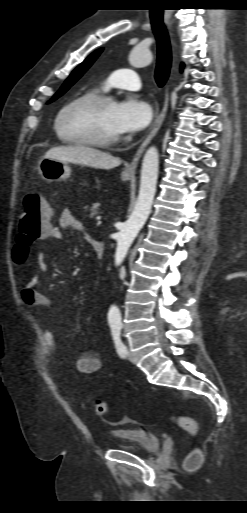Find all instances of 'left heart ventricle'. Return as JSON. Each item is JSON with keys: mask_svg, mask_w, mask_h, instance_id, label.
<instances>
[{"mask_svg": "<svg viewBox=\"0 0 247 513\" xmlns=\"http://www.w3.org/2000/svg\"><path fill=\"white\" fill-rule=\"evenodd\" d=\"M116 103L101 106L79 105L66 112L61 121L67 137L112 139L120 137L115 122Z\"/></svg>", "mask_w": 247, "mask_h": 513, "instance_id": "1", "label": "left heart ventricle"}]
</instances>
